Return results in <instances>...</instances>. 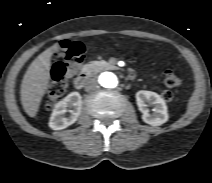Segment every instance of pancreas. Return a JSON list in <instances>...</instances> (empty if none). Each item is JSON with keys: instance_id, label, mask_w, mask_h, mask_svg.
Masks as SVG:
<instances>
[{"instance_id": "pancreas-1", "label": "pancreas", "mask_w": 212, "mask_h": 183, "mask_svg": "<svg viewBox=\"0 0 212 183\" xmlns=\"http://www.w3.org/2000/svg\"><path fill=\"white\" fill-rule=\"evenodd\" d=\"M115 61L111 60L109 62H106L104 60L101 61H92L90 64L87 65V72L88 73H94V72H100L103 70H117L118 67L115 65Z\"/></svg>"}]
</instances>
